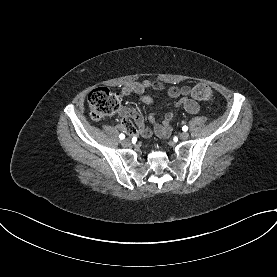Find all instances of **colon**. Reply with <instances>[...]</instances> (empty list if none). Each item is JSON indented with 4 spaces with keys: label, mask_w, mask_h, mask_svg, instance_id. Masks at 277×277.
I'll use <instances>...</instances> for the list:
<instances>
[{
    "label": "colon",
    "mask_w": 277,
    "mask_h": 277,
    "mask_svg": "<svg viewBox=\"0 0 277 277\" xmlns=\"http://www.w3.org/2000/svg\"><path fill=\"white\" fill-rule=\"evenodd\" d=\"M193 96L198 100L212 98V90L205 84H198L193 88ZM90 114L94 120H102L113 115L121 105V96L109 88L93 89L87 97Z\"/></svg>",
    "instance_id": "colon-1"
}]
</instances>
